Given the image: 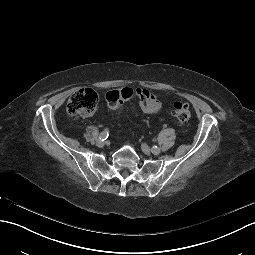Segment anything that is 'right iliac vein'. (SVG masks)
Masks as SVG:
<instances>
[{
	"instance_id": "right-iliac-vein-1",
	"label": "right iliac vein",
	"mask_w": 255,
	"mask_h": 255,
	"mask_svg": "<svg viewBox=\"0 0 255 255\" xmlns=\"http://www.w3.org/2000/svg\"><path fill=\"white\" fill-rule=\"evenodd\" d=\"M104 145H105V142H104V141H102V140H100V139L97 141V146H98V147H103Z\"/></svg>"
}]
</instances>
